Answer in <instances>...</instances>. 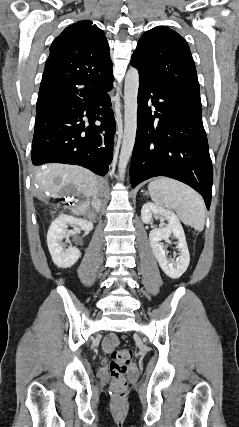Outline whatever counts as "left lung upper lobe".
Wrapping results in <instances>:
<instances>
[{"label": "left lung upper lobe", "instance_id": "obj_1", "mask_svg": "<svg viewBox=\"0 0 239 427\" xmlns=\"http://www.w3.org/2000/svg\"><path fill=\"white\" fill-rule=\"evenodd\" d=\"M139 75L200 98L195 64L186 40L166 26L145 32L131 58Z\"/></svg>", "mask_w": 239, "mask_h": 427}]
</instances>
